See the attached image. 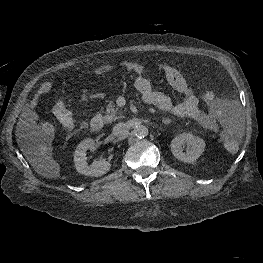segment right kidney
I'll return each mask as SVG.
<instances>
[{
    "label": "right kidney",
    "mask_w": 263,
    "mask_h": 263,
    "mask_svg": "<svg viewBox=\"0 0 263 263\" xmlns=\"http://www.w3.org/2000/svg\"><path fill=\"white\" fill-rule=\"evenodd\" d=\"M95 149L93 139H86L79 143L74 153V162L76 170L86 176L100 177L106 174L111 167V164L106 160L94 161L92 164L87 163L86 151Z\"/></svg>",
    "instance_id": "ca27d5eb"
}]
</instances>
